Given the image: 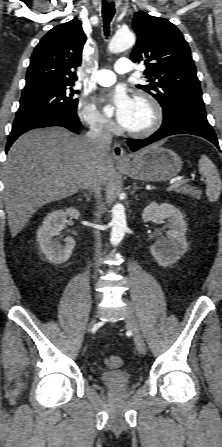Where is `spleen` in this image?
<instances>
[{"mask_svg": "<svg viewBox=\"0 0 222 447\" xmlns=\"http://www.w3.org/2000/svg\"><path fill=\"white\" fill-rule=\"evenodd\" d=\"M199 172L206 179V195L209 201H216L221 193L222 182L216 166L206 155L199 160Z\"/></svg>", "mask_w": 222, "mask_h": 447, "instance_id": "3e777b00", "label": "spleen"}]
</instances>
